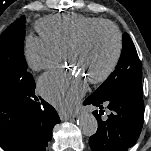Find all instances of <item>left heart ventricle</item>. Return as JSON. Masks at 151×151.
<instances>
[{
	"instance_id": "1",
	"label": "left heart ventricle",
	"mask_w": 151,
	"mask_h": 151,
	"mask_svg": "<svg viewBox=\"0 0 151 151\" xmlns=\"http://www.w3.org/2000/svg\"><path fill=\"white\" fill-rule=\"evenodd\" d=\"M114 52L115 39L112 31L102 28L93 32L82 47L71 52L68 61L90 80L108 67Z\"/></svg>"
}]
</instances>
